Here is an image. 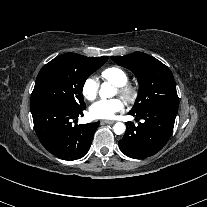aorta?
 <instances>
[{
    "label": "aorta",
    "instance_id": "1",
    "mask_svg": "<svg viewBox=\"0 0 207 207\" xmlns=\"http://www.w3.org/2000/svg\"><path fill=\"white\" fill-rule=\"evenodd\" d=\"M116 94V90L113 86H111L109 83L104 82L101 85V89L99 91V95L102 99L112 97ZM113 130L117 135L123 134L126 130V127L123 123L117 122L113 126Z\"/></svg>",
    "mask_w": 207,
    "mask_h": 207
}]
</instances>
